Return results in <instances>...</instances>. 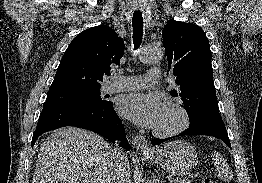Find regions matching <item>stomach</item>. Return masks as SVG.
<instances>
[{"label": "stomach", "mask_w": 262, "mask_h": 183, "mask_svg": "<svg viewBox=\"0 0 262 183\" xmlns=\"http://www.w3.org/2000/svg\"><path fill=\"white\" fill-rule=\"evenodd\" d=\"M147 155L166 172L174 175L189 174L198 163L195 148L181 140L168 142Z\"/></svg>", "instance_id": "obj_1"}]
</instances>
